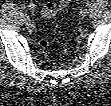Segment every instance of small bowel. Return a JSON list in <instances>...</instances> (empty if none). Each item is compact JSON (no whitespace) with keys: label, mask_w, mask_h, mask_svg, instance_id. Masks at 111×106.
Segmentation results:
<instances>
[{"label":"small bowel","mask_w":111,"mask_h":106,"mask_svg":"<svg viewBox=\"0 0 111 106\" xmlns=\"http://www.w3.org/2000/svg\"><path fill=\"white\" fill-rule=\"evenodd\" d=\"M69 4L68 0H59L57 2H48L42 9V16L44 18H52L58 12L64 10Z\"/></svg>","instance_id":"1"}]
</instances>
